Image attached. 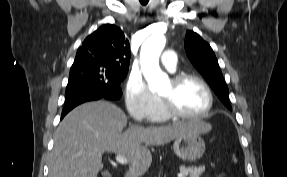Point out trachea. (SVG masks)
<instances>
[{
  "label": "trachea",
  "instance_id": "trachea-1",
  "mask_svg": "<svg viewBox=\"0 0 287 177\" xmlns=\"http://www.w3.org/2000/svg\"><path fill=\"white\" fill-rule=\"evenodd\" d=\"M139 2H140L142 5H146V4L149 2V0H139Z\"/></svg>",
  "mask_w": 287,
  "mask_h": 177
}]
</instances>
